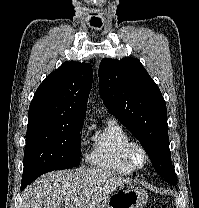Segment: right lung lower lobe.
Instances as JSON below:
<instances>
[{"instance_id": "obj_1", "label": "right lung lower lobe", "mask_w": 199, "mask_h": 208, "mask_svg": "<svg viewBox=\"0 0 199 208\" xmlns=\"http://www.w3.org/2000/svg\"><path fill=\"white\" fill-rule=\"evenodd\" d=\"M29 183H31L29 180H23L21 183V189H24Z\"/></svg>"}]
</instances>
